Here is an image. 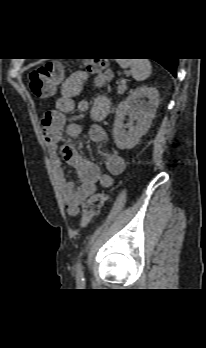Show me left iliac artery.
<instances>
[{"instance_id": "1", "label": "left iliac artery", "mask_w": 206, "mask_h": 348, "mask_svg": "<svg viewBox=\"0 0 206 348\" xmlns=\"http://www.w3.org/2000/svg\"><path fill=\"white\" fill-rule=\"evenodd\" d=\"M76 268H77V282L83 285L85 282V279L83 275V266H82L81 260H79L78 263L76 264Z\"/></svg>"}]
</instances>
